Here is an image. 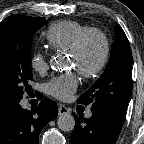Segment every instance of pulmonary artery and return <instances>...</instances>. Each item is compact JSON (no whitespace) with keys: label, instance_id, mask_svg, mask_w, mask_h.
<instances>
[{"label":"pulmonary artery","instance_id":"obj_1","mask_svg":"<svg viewBox=\"0 0 144 144\" xmlns=\"http://www.w3.org/2000/svg\"><path fill=\"white\" fill-rule=\"evenodd\" d=\"M85 116H86V118H90L92 116V112L88 111Z\"/></svg>","mask_w":144,"mask_h":144}]
</instances>
